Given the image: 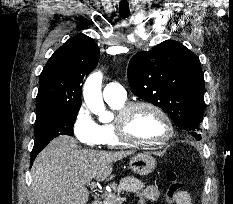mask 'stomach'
I'll use <instances>...</instances> for the list:
<instances>
[{
	"label": "stomach",
	"mask_w": 233,
	"mask_h": 204,
	"mask_svg": "<svg viewBox=\"0 0 233 204\" xmlns=\"http://www.w3.org/2000/svg\"><path fill=\"white\" fill-rule=\"evenodd\" d=\"M129 165L134 173L144 176L154 171L156 160L149 153H139L130 159Z\"/></svg>",
	"instance_id": "stomach-1"
}]
</instances>
